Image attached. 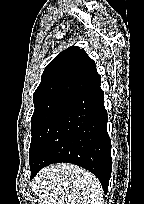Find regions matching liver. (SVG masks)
Segmentation results:
<instances>
[{
    "mask_svg": "<svg viewBox=\"0 0 144 204\" xmlns=\"http://www.w3.org/2000/svg\"><path fill=\"white\" fill-rule=\"evenodd\" d=\"M39 204H102V186L89 171L59 163L43 168L31 183Z\"/></svg>",
    "mask_w": 144,
    "mask_h": 204,
    "instance_id": "liver-1",
    "label": "liver"
}]
</instances>
